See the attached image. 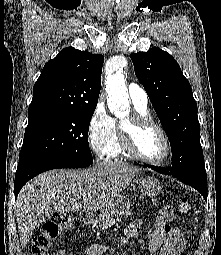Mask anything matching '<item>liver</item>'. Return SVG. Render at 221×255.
<instances>
[{
  "label": "liver",
  "instance_id": "6515ba94",
  "mask_svg": "<svg viewBox=\"0 0 221 255\" xmlns=\"http://www.w3.org/2000/svg\"><path fill=\"white\" fill-rule=\"evenodd\" d=\"M140 171L124 162L109 161L89 169L51 170L38 175L22 188L15 204L22 248L32 237L36 219L44 212L101 210Z\"/></svg>",
  "mask_w": 221,
  "mask_h": 255
}]
</instances>
